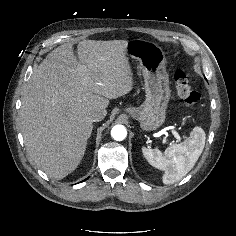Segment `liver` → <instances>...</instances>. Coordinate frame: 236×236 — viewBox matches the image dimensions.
<instances>
[{
  "mask_svg": "<svg viewBox=\"0 0 236 236\" xmlns=\"http://www.w3.org/2000/svg\"><path fill=\"white\" fill-rule=\"evenodd\" d=\"M127 41L84 40L63 44L29 79L20 108L28 154L49 177L60 180L80 164L92 131L89 113L105 109L133 88Z\"/></svg>",
  "mask_w": 236,
  "mask_h": 236,
  "instance_id": "obj_1",
  "label": "liver"
}]
</instances>
